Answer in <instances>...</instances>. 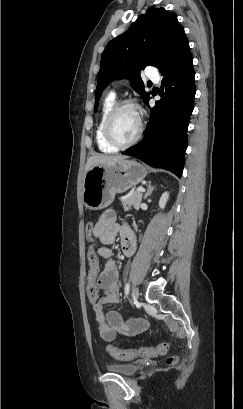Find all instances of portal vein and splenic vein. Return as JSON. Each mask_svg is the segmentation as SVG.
Here are the masks:
<instances>
[{
	"mask_svg": "<svg viewBox=\"0 0 243 409\" xmlns=\"http://www.w3.org/2000/svg\"><path fill=\"white\" fill-rule=\"evenodd\" d=\"M137 190H138L139 192H144V191H145V189H144L143 187H139Z\"/></svg>",
	"mask_w": 243,
	"mask_h": 409,
	"instance_id": "portal-vein-and-splenic-vein-1",
	"label": "portal vein and splenic vein"
}]
</instances>
